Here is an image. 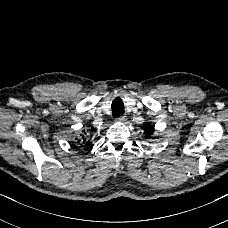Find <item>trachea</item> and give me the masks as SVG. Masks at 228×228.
<instances>
[{
	"instance_id": "obj_1",
	"label": "trachea",
	"mask_w": 228,
	"mask_h": 228,
	"mask_svg": "<svg viewBox=\"0 0 228 228\" xmlns=\"http://www.w3.org/2000/svg\"><path fill=\"white\" fill-rule=\"evenodd\" d=\"M124 114V104L120 98H116L112 103V115L114 118Z\"/></svg>"
}]
</instances>
